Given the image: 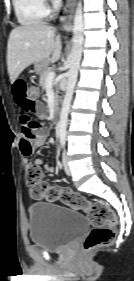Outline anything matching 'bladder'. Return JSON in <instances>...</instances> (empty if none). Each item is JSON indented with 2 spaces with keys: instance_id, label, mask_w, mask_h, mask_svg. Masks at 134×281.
<instances>
[{
  "instance_id": "1",
  "label": "bladder",
  "mask_w": 134,
  "mask_h": 281,
  "mask_svg": "<svg viewBox=\"0 0 134 281\" xmlns=\"http://www.w3.org/2000/svg\"><path fill=\"white\" fill-rule=\"evenodd\" d=\"M29 238L48 251L65 250L88 228L80 212L53 203L38 202L29 208Z\"/></svg>"
}]
</instances>
